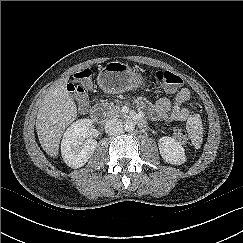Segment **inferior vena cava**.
<instances>
[{
  "label": "inferior vena cava",
  "mask_w": 243,
  "mask_h": 243,
  "mask_svg": "<svg viewBox=\"0 0 243 243\" xmlns=\"http://www.w3.org/2000/svg\"><path fill=\"white\" fill-rule=\"evenodd\" d=\"M122 130L123 124L117 118L109 119L105 124V132L108 135H118L122 132Z\"/></svg>",
  "instance_id": "inferior-vena-cava-1"
}]
</instances>
